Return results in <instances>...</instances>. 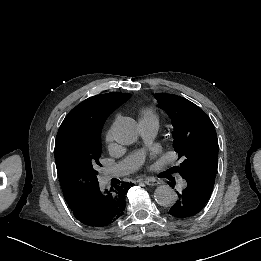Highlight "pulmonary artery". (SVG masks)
<instances>
[{
	"instance_id": "pulmonary-artery-1",
	"label": "pulmonary artery",
	"mask_w": 261,
	"mask_h": 261,
	"mask_svg": "<svg viewBox=\"0 0 261 261\" xmlns=\"http://www.w3.org/2000/svg\"><path fill=\"white\" fill-rule=\"evenodd\" d=\"M141 141L138 143V149L135 151L136 159L129 161H122L115 165L114 167L106 170V175L108 177H118L126 172L132 167L134 170H139L142 167L141 160L145 159L146 154H149L153 150V141L155 139V133L157 130V123L153 121H140Z\"/></svg>"
}]
</instances>
